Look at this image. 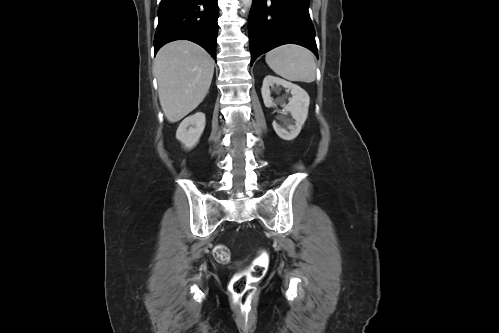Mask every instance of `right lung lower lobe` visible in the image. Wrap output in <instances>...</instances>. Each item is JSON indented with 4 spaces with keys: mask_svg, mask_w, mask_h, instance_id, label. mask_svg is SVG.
Instances as JSON below:
<instances>
[{
    "mask_svg": "<svg viewBox=\"0 0 499 333\" xmlns=\"http://www.w3.org/2000/svg\"><path fill=\"white\" fill-rule=\"evenodd\" d=\"M218 14L217 0H161L155 54L168 42L186 39L201 45L216 59Z\"/></svg>",
    "mask_w": 499,
    "mask_h": 333,
    "instance_id": "98d812e1",
    "label": "right lung lower lobe"
}]
</instances>
